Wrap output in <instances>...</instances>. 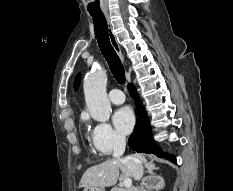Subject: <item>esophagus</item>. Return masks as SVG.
<instances>
[{"label":"esophagus","instance_id":"34e87169","mask_svg":"<svg viewBox=\"0 0 233 191\" xmlns=\"http://www.w3.org/2000/svg\"><path fill=\"white\" fill-rule=\"evenodd\" d=\"M105 18H106V21H107V24H108V32H109L110 43L113 46V48L116 51V53L118 54V56L120 58H122L121 48H120L119 43H118V41L116 39V36L114 34V31H113V28H112V24H111L109 15L106 14Z\"/></svg>","mask_w":233,"mask_h":191}]
</instances>
